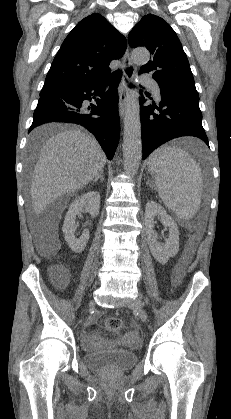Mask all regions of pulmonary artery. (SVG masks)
Wrapping results in <instances>:
<instances>
[{"mask_svg": "<svg viewBox=\"0 0 231 419\" xmlns=\"http://www.w3.org/2000/svg\"><path fill=\"white\" fill-rule=\"evenodd\" d=\"M141 82H142L143 85L152 89L154 97L157 101L161 100L160 88H159L158 83L154 79H152L150 77H142Z\"/></svg>", "mask_w": 231, "mask_h": 419, "instance_id": "obj_1", "label": "pulmonary artery"}]
</instances>
